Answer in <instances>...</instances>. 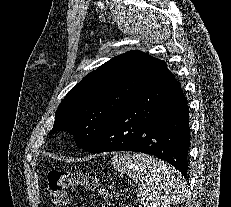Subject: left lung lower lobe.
Returning a JSON list of instances; mask_svg holds the SVG:
<instances>
[{
  "instance_id": "0a47b994",
  "label": "left lung lower lobe",
  "mask_w": 231,
  "mask_h": 207,
  "mask_svg": "<svg viewBox=\"0 0 231 207\" xmlns=\"http://www.w3.org/2000/svg\"><path fill=\"white\" fill-rule=\"evenodd\" d=\"M188 118L181 84L159 60L144 88L111 119L87 151L151 154L173 165L186 178Z\"/></svg>"
}]
</instances>
